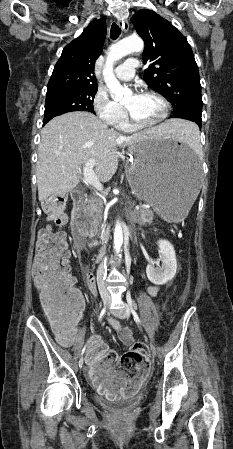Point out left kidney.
Listing matches in <instances>:
<instances>
[{
	"label": "left kidney",
	"mask_w": 233,
	"mask_h": 449,
	"mask_svg": "<svg viewBox=\"0 0 233 449\" xmlns=\"http://www.w3.org/2000/svg\"><path fill=\"white\" fill-rule=\"evenodd\" d=\"M159 252L161 254V262L149 264L146 268V274L149 281L155 285H164L171 281L177 270V259L173 245L167 240H158Z\"/></svg>",
	"instance_id": "left-kidney-1"
}]
</instances>
